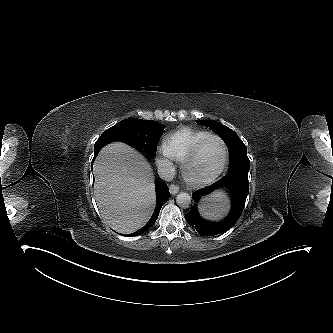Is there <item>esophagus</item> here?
<instances>
[{"label":"esophagus","mask_w":333,"mask_h":333,"mask_svg":"<svg viewBox=\"0 0 333 333\" xmlns=\"http://www.w3.org/2000/svg\"><path fill=\"white\" fill-rule=\"evenodd\" d=\"M169 190L172 195H176L179 192V187L175 184H171Z\"/></svg>","instance_id":"esophagus-1"}]
</instances>
